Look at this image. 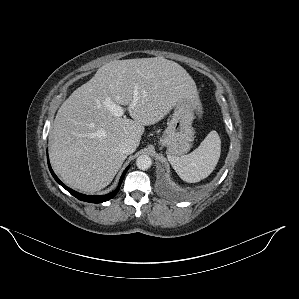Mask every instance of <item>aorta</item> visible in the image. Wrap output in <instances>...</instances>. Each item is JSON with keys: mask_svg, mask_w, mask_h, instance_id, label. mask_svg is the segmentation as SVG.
Listing matches in <instances>:
<instances>
[{"mask_svg": "<svg viewBox=\"0 0 299 299\" xmlns=\"http://www.w3.org/2000/svg\"><path fill=\"white\" fill-rule=\"evenodd\" d=\"M152 160L148 155H140L136 160V165L141 170H147L151 167Z\"/></svg>", "mask_w": 299, "mask_h": 299, "instance_id": "obj_1", "label": "aorta"}]
</instances>
